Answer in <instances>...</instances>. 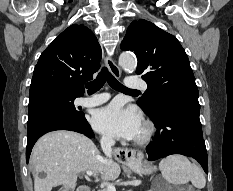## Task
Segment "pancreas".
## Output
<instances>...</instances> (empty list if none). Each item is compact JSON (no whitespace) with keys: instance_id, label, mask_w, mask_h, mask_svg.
I'll list each match as a JSON object with an SVG mask.
<instances>
[{"instance_id":"obj_1","label":"pancreas","mask_w":233,"mask_h":191,"mask_svg":"<svg viewBox=\"0 0 233 191\" xmlns=\"http://www.w3.org/2000/svg\"><path fill=\"white\" fill-rule=\"evenodd\" d=\"M99 191H107V189H102V190H99Z\"/></svg>"}]
</instances>
